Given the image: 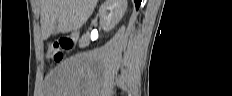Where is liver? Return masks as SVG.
Returning <instances> with one entry per match:
<instances>
[{
  "label": "liver",
  "mask_w": 232,
  "mask_h": 96,
  "mask_svg": "<svg viewBox=\"0 0 232 96\" xmlns=\"http://www.w3.org/2000/svg\"><path fill=\"white\" fill-rule=\"evenodd\" d=\"M98 0H40L41 30L47 39L57 23L58 33H68L83 26Z\"/></svg>",
  "instance_id": "obj_1"
}]
</instances>
